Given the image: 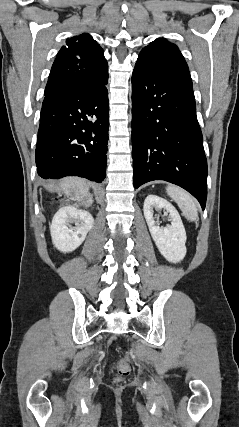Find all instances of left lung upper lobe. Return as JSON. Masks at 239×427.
Returning <instances> with one entry per match:
<instances>
[{"label": "left lung upper lobe", "mask_w": 239, "mask_h": 427, "mask_svg": "<svg viewBox=\"0 0 239 427\" xmlns=\"http://www.w3.org/2000/svg\"><path fill=\"white\" fill-rule=\"evenodd\" d=\"M136 64L192 85L187 63L178 47L159 38L144 47Z\"/></svg>", "instance_id": "left-lung-upper-lobe-1"}]
</instances>
